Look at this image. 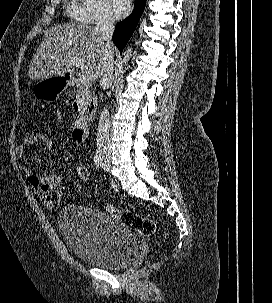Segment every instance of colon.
<instances>
[{
  "label": "colon",
  "mask_w": 272,
  "mask_h": 303,
  "mask_svg": "<svg viewBox=\"0 0 272 303\" xmlns=\"http://www.w3.org/2000/svg\"><path fill=\"white\" fill-rule=\"evenodd\" d=\"M39 149L49 152L54 149L55 142L48 133L36 134V144ZM76 170L82 181H88L89 169L84 161L79 160L76 164ZM43 203L53 209L57 208L60 203L59 195L56 192H50L41 196ZM105 211L117 217L126 226L138 231L140 234L150 236L156 231L155 222L141 213L132 210H121L112 207H105Z\"/></svg>",
  "instance_id": "obj_1"
}]
</instances>
